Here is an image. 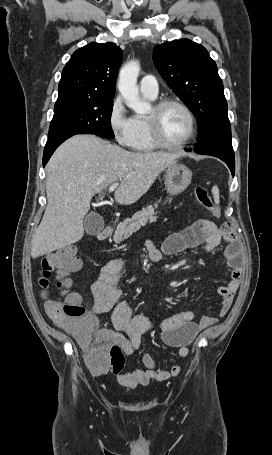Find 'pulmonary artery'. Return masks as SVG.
Segmentation results:
<instances>
[{"label":"pulmonary artery","instance_id":"pulmonary-artery-1","mask_svg":"<svg viewBox=\"0 0 272 455\" xmlns=\"http://www.w3.org/2000/svg\"><path fill=\"white\" fill-rule=\"evenodd\" d=\"M141 92L149 97L155 98L158 94V82L153 75H145L140 81Z\"/></svg>","mask_w":272,"mask_h":455}]
</instances>
